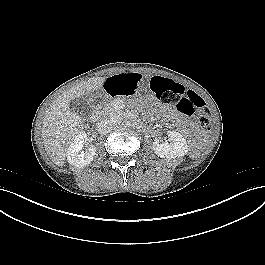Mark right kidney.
<instances>
[{"instance_id":"1","label":"right kidney","mask_w":265,"mask_h":265,"mask_svg":"<svg viewBox=\"0 0 265 265\" xmlns=\"http://www.w3.org/2000/svg\"><path fill=\"white\" fill-rule=\"evenodd\" d=\"M88 138L85 132H80L71 142L67 150V161L70 165L76 167H85L89 165L96 154V147L89 145L85 152H81Z\"/></svg>"}]
</instances>
